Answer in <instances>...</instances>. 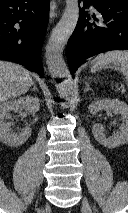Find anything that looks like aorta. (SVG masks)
Returning a JSON list of instances; mask_svg holds the SVG:
<instances>
[{"label": "aorta", "instance_id": "obj_1", "mask_svg": "<svg viewBox=\"0 0 128 213\" xmlns=\"http://www.w3.org/2000/svg\"><path fill=\"white\" fill-rule=\"evenodd\" d=\"M79 17L78 0H66V8L60 21L54 28L46 45V63L52 78L62 79L57 84L59 96L70 99L73 94V80L64 62L62 53L73 33ZM67 107V105H65Z\"/></svg>", "mask_w": 128, "mask_h": 213}]
</instances>
